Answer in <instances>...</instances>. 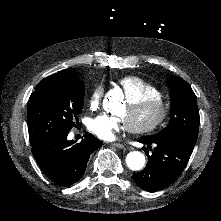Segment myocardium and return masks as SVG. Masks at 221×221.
<instances>
[{
  "mask_svg": "<svg viewBox=\"0 0 221 221\" xmlns=\"http://www.w3.org/2000/svg\"><path fill=\"white\" fill-rule=\"evenodd\" d=\"M128 109L125 123L128 133L132 135L160 128L170 113L166 100L155 96L130 104Z\"/></svg>",
  "mask_w": 221,
  "mask_h": 221,
  "instance_id": "myocardium-1",
  "label": "myocardium"
}]
</instances>
